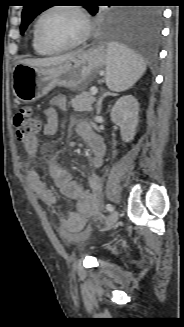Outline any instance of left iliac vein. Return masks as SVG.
I'll use <instances>...</instances> for the list:
<instances>
[{
  "label": "left iliac vein",
  "mask_w": 184,
  "mask_h": 327,
  "mask_svg": "<svg viewBox=\"0 0 184 327\" xmlns=\"http://www.w3.org/2000/svg\"><path fill=\"white\" fill-rule=\"evenodd\" d=\"M118 218H119V212L117 210H115L109 217L107 224L104 227L103 231H107V230L111 229L114 226V224L118 221Z\"/></svg>",
  "instance_id": "obj_1"
}]
</instances>
